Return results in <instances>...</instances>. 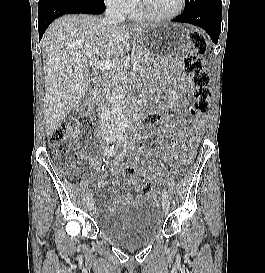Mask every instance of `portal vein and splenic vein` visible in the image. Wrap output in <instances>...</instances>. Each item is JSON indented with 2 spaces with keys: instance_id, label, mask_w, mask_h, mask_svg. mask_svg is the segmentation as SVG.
Masks as SVG:
<instances>
[{
  "instance_id": "obj_1",
  "label": "portal vein and splenic vein",
  "mask_w": 265,
  "mask_h": 273,
  "mask_svg": "<svg viewBox=\"0 0 265 273\" xmlns=\"http://www.w3.org/2000/svg\"><path fill=\"white\" fill-rule=\"evenodd\" d=\"M89 66L101 71H105V70L109 71V70L117 69L119 67V63L116 61H107V60L99 61L98 58L93 57L89 59ZM133 69L137 70L138 68L137 66H134Z\"/></svg>"
}]
</instances>
